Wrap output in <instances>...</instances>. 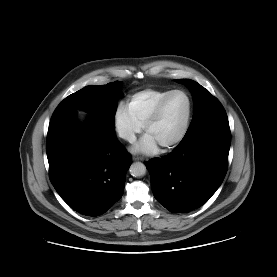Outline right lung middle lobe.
Here are the masks:
<instances>
[{"label": "right lung middle lobe", "instance_id": "right-lung-middle-lobe-1", "mask_svg": "<svg viewBox=\"0 0 277 277\" xmlns=\"http://www.w3.org/2000/svg\"><path fill=\"white\" fill-rule=\"evenodd\" d=\"M119 87V81L107 85L84 87L66 97L55 112H74L75 109H83L89 113L90 118L115 131L117 109L115 96Z\"/></svg>", "mask_w": 277, "mask_h": 277}]
</instances>
